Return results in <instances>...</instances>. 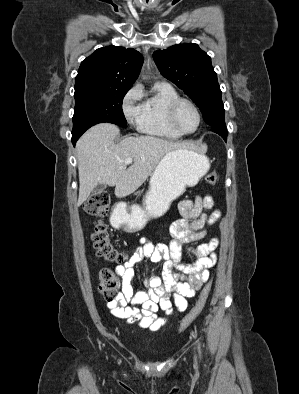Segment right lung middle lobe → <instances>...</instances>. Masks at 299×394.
<instances>
[{
    "label": "right lung middle lobe",
    "instance_id": "obj_1",
    "mask_svg": "<svg viewBox=\"0 0 299 394\" xmlns=\"http://www.w3.org/2000/svg\"><path fill=\"white\" fill-rule=\"evenodd\" d=\"M128 90L103 87L75 88L73 129L90 128L102 122L127 127L122 101Z\"/></svg>",
    "mask_w": 299,
    "mask_h": 394
}]
</instances>
